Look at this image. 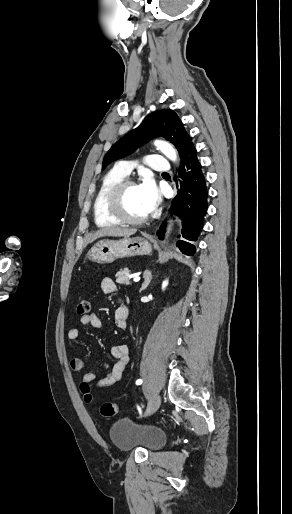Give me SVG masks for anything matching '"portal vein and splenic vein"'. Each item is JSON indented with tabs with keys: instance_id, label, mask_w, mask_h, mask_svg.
Instances as JSON below:
<instances>
[{
	"instance_id": "obj_1",
	"label": "portal vein and splenic vein",
	"mask_w": 292,
	"mask_h": 514,
	"mask_svg": "<svg viewBox=\"0 0 292 514\" xmlns=\"http://www.w3.org/2000/svg\"><path fill=\"white\" fill-rule=\"evenodd\" d=\"M139 280H140L139 276H135L134 282H139Z\"/></svg>"
}]
</instances>
